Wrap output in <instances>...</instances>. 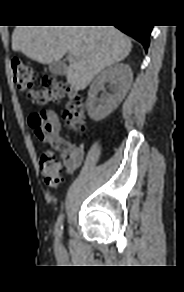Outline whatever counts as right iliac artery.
Masks as SVG:
<instances>
[{"mask_svg": "<svg viewBox=\"0 0 184 292\" xmlns=\"http://www.w3.org/2000/svg\"><path fill=\"white\" fill-rule=\"evenodd\" d=\"M62 220H63V215L61 214L58 218L57 224H56V235L57 237H61L62 236V232H63V226H62Z\"/></svg>", "mask_w": 184, "mask_h": 292, "instance_id": "82829eb1", "label": "right iliac artery"}]
</instances>
